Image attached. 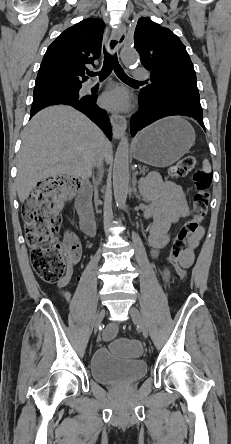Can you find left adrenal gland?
Returning a JSON list of instances; mask_svg holds the SVG:
<instances>
[{
    "mask_svg": "<svg viewBox=\"0 0 231 444\" xmlns=\"http://www.w3.org/2000/svg\"><path fill=\"white\" fill-rule=\"evenodd\" d=\"M136 180H135V182H134V192H135V195H136V197L139 199V200H141V198H140V196L139 195H137V193H136Z\"/></svg>",
    "mask_w": 231,
    "mask_h": 444,
    "instance_id": "obj_1",
    "label": "left adrenal gland"
}]
</instances>
